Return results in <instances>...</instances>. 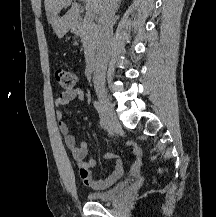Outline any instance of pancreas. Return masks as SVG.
Returning <instances> with one entry per match:
<instances>
[{
  "label": "pancreas",
  "mask_w": 216,
  "mask_h": 217,
  "mask_svg": "<svg viewBox=\"0 0 216 217\" xmlns=\"http://www.w3.org/2000/svg\"><path fill=\"white\" fill-rule=\"evenodd\" d=\"M79 35L86 53L93 51L96 45L97 27L92 21H83L79 25Z\"/></svg>",
  "instance_id": "obj_1"
}]
</instances>
